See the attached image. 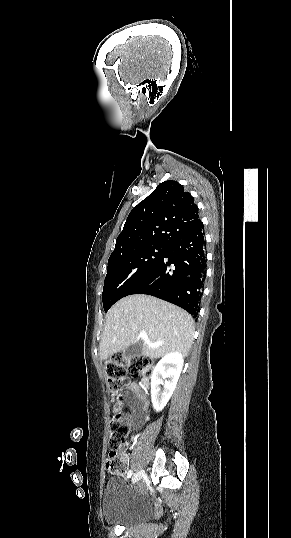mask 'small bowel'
Segmentation results:
<instances>
[{
  "instance_id": "c3829d8e",
  "label": "small bowel",
  "mask_w": 291,
  "mask_h": 538,
  "mask_svg": "<svg viewBox=\"0 0 291 538\" xmlns=\"http://www.w3.org/2000/svg\"><path fill=\"white\" fill-rule=\"evenodd\" d=\"M126 389L132 393L129 401L132 408V416L128 423L130 427L138 428L141 426L143 418L148 410V401L141 384L137 382L130 383ZM121 459L126 464L128 459L127 454L122 452Z\"/></svg>"
}]
</instances>
